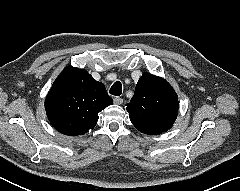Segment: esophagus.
I'll list each match as a JSON object with an SVG mask.
<instances>
[{
    "label": "esophagus",
    "mask_w": 240,
    "mask_h": 191,
    "mask_svg": "<svg viewBox=\"0 0 240 191\" xmlns=\"http://www.w3.org/2000/svg\"><path fill=\"white\" fill-rule=\"evenodd\" d=\"M114 103L117 105H121L123 103V99L120 97H115L114 98Z\"/></svg>",
    "instance_id": "34e87169"
}]
</instances>
